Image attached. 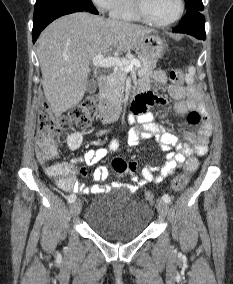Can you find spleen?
Masks as SVG:
<instances>
[{"instance_id":"obj_1","label":"spleen","mask_w":233,"mask_h":284,"mask_svg":"<svg viewBox=\"0 0 233 284\" xmlns=\"http://www.w3.org/2000/svg\"><path fill=\"white\" fill-rule=\"evenodd\" d=\"M196 69L195 67H190L188 70V75L185 77L187 83H193L194 82V75H195Z\"/></svg>"}]
</instances>
